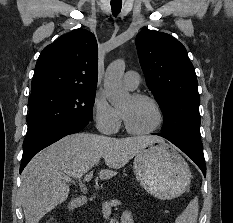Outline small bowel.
Instances as JSON below:
<instances>
[{
  "mask_svg": "<svg viewBox=\"0 0 233 223\" xmlns=\"http://www.w3.org/2000/svg\"><path fill=\"white\" fill-rule=\"evenodd\" d=\"M121 223H134V217L129 210H125L121 216Z\"/></svg>",
  "mask_w": 233,
  "mask_h": 223,
  "instance_id": "obj_1",
  "label": "small bowel"
}]
</instances>
